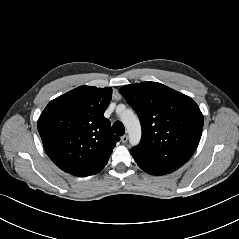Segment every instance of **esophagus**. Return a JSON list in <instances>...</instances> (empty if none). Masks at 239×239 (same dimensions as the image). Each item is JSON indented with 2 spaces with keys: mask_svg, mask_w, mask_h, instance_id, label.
Segmentation results:
<instances>
[{
  "mask_svg": "<svg viewBox=\"0 0 239 239\" xmlns=\"http://www.w3.org/2000/svg\"><path fill=\"white\" fill-rule=\"evenodd\" d=\"M128 141V136L127 135H123L122 137H121V142L122 143H126Z\"/></svg>",
  "mask_w": 239,
  "mask_h": 239,
  "instance_id": "1",
  "label": "esophagus"
}]
</instances>
